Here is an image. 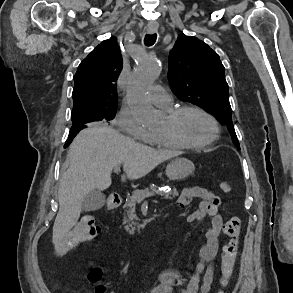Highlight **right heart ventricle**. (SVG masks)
I'll use <instances>...</instances> for the list:
<instances>
[{"instance_id": "obj_1", "label": "right heart ventricle", "mask_w": 293, "mask_h": 293, "mask_svg": "<svg viewBox=\"0 0 293 293\" xmlns=\"http://www.w3.org/2000/svg\"><path fill=\"white\" fill-rule=\"evenodd\" d=\"M148 143L159 149H165V150L180 149V146L168 141L167 139L162 137L159 133L153 134L152 139Z\"/></svg>"}]
</instances>
